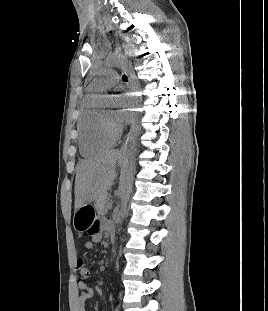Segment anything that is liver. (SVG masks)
I'll use <instances>...</instances> for the list:
<instances>
[{
  "mask_svg": "<svg viewBox=\"0 0 268 311\" xmlns=\"http://www.w3.org/2000/svg\"><path fill=\"white\" fill-rule=\"evenodd\" d=\"M121 159L118 150L79 163L75 179V209L106 194L116 177V163Z\"/></svg>",
  "mask_w": 268,
  "mask_h": 311,
  "instance_id": "6515ba94",
  "label": "liver"
}]
</instances>
